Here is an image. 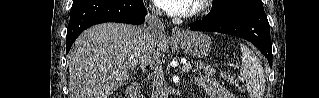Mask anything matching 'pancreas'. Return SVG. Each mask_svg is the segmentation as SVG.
Here are the masks:
<instances>
[{
    "label": "pancreas",
    "mask_w": 319,
    "mask_h": 98,
    "mask_svg": "<svg viewBox=\"0 0 319 98\" xmlns=\"http://www.w3.org/2000/svg\"><path fill=\"white\" fill-rule=\"evenodd\" d=\"M193 71L198 74H203L205 78H212L215 75V68L202 62H196Z\"/></svg>",
    "instance_id": "1"
}]
</instances>
